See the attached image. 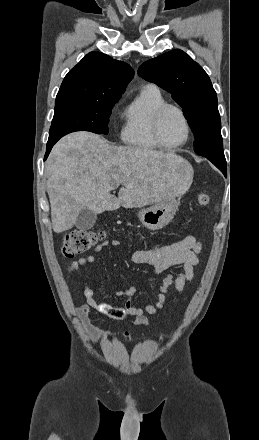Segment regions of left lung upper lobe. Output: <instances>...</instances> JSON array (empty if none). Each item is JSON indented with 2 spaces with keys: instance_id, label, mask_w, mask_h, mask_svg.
<instances>
[{
  "instance_id": "5c2ea615",
  "label": "left lung upper lobe",
  "mask_w": 259,
  "mask_h": 440,
  "mask_svg": "<svg viewBox=\"0 0 259 440\" xmlns=\"http://www.w3.org/2000/svg\"><path fill=\"white\" fill-rule=\"evenodd\" d=\"M138 74L168 91L183 108L194 134V150L206 158H223L217 95L209 76L179 49L144 62Z\"/></svg>"
}]
</instances>
